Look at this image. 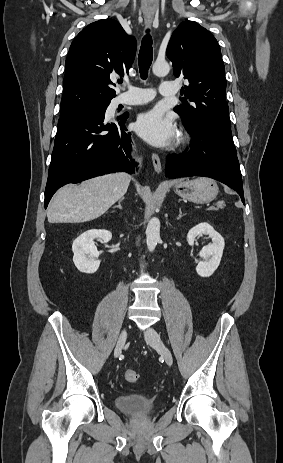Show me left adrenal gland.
Here are the masks:
<instances>
[{
    "instance_id": "left-adrenal-gland-1",
    "label": "left adrenal gland",
    "mask_w": 283,
    "mask_h": 463,
    "mask_svg": "<svg viewBox=\"0 0 283 463\" xmlns=\"http://www.w3.org/2000/svg\"><path fill=\"white\" fill-rule=\"evenodd\" d=\"M183 216H184V214H182V210H181V208H179V215L177 217V220L181 219Z\"/></svg>"
}]
</instances>
